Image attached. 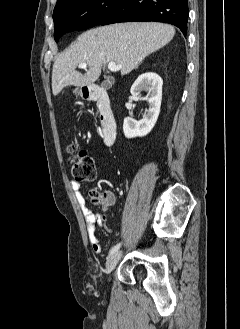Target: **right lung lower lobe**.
I'll list each match as a JSON object with an SVG mask.
<instances>
[{"mask_svg": "<svg viewBox=\"0 0 240 329\" xmlns=\"http://www.w3.org/2000/svg\"><path fill=\"white\" fill-rule=\"evenodd\" d=\"M188 0H126L101 25L129 21H157L187 33Z\"/></svg>", "mask_w": 240, "mask_h": 329, "instance_id": "obj_1", "label": "right lung lower lobe"}]
</instances>
